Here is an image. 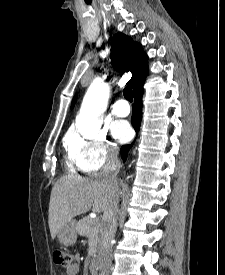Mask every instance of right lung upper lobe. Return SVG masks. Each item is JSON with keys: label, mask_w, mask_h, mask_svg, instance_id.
<instances>
[{"label": "right lung upper lobe", "mask_w": 225, "mask_h": 275, "mask_svg": "<svg viewBox=\"0 0 225 275\" xmlns=\"http://www.w3.org/2000/svg\"><path fill=\"white\" fill-rule=\"evenodd\" d=\"M147 55L142 51L141 45L132 42V39L122 33H117L112 39L111 62L120 72L130 71L132 78L128 81L133 87V93L143 84L148 72ZM75 95L71 108L76 102Z\"/></svg>", "instance_id": "obj_1"}]
</instances>
